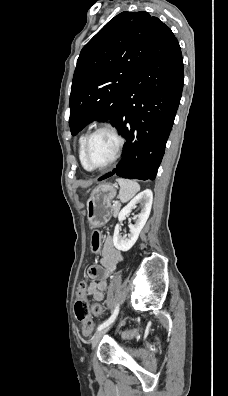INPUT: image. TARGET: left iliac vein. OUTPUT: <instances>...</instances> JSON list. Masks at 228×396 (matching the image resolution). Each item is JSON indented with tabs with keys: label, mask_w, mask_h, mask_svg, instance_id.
<instances>
[{
	"label": "left iliac vein",
	"mask_w": 228,
	"mask_h": 396,
	"mask_svg": "<svg viewBox=\"0 0 228 396\" xmlns=\"http://www.w3.org/2000/svg\"><path fill=\"white\" fill-rule=\"evenodd\" d=\"M114 321L109 324L108 326H106L105 328L97 331L94 336L91 339V346H92V350H94V348L97 346L98 342L100 341V339L108 332V330L112 327Z\"/></svg>",
	"instance_id": "1"
}]
</instances>
